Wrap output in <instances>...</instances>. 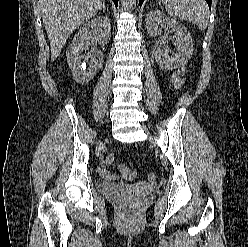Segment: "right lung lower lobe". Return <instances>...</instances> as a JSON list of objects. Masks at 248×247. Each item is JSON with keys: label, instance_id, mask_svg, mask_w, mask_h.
Returning <instances> with one entry per match:
<instances>
[{"label": "right lung lower lobe", "instance_id": "right-lung-lower-lobe-1", "mask_svg": "<svg viewBox=\"0 0 248 247\" xmlns=\"http://www.w3.org/2000/svg\"><path fill=\"white\" fill-rule=\"evenodd\" d=\"M113 2H114V4H115V6L117 7V5H118V0H113Z\"/></svg>", "mask_w": 248, "mask_h": 247}]
</instances>
